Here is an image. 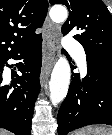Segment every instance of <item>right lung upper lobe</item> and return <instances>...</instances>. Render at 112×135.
I'll use <instances>...</instances> for the list:
<instances>
[{
  "instance_id": "right-lung-upper-lobe-1",
  "label": "right lung upper lobe",
  "mask_w": 112,
  "mask_h": 135,
  "mask_svg": "<svg viewBox=\"0 0 112 135\" xmlns=\"http://www.w3.org/2000/svg\"><path fill=\"white\" fill-rule=\"evenodd\" d=\"M46 0H0V60L42 37Z\"/></svg>"
}]
</instances>
